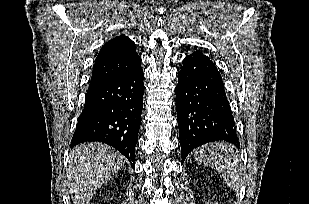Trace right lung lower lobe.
<instances>
[{"label":"right lung lower lobe","instance_id":"obj_1","mask_svg":"<svg viewBox=\"0 0 309 204\" xmlns=\"http://www.w3.org/2000/svg\"><path fill=\"white\" fill-rule=\"evenodd\" d=\"M143 94L141 64L120 76L91 85L70 147L83 142H103L117 149L135 167Z\"/></svg>","mask_w":309,"mask_h":204}]
</instances>
